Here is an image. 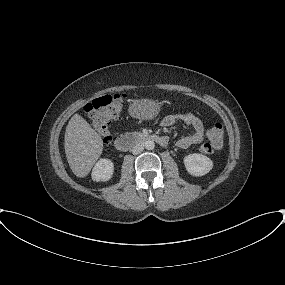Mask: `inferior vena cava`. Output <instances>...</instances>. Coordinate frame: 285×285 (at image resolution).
Wrapping results in <instances>:
<instances>
[{"label": "inferior vena cava", "instance_id": "1", "mask_svg": "<svg viewBox=\"0 0 285 285\" xmlns=\"http://www.w3.org/2000/svg\"><path fill=\"white\" fill-rule=\"evenodd\" d=\"M143 150H144L143 144L137 143V144H135V145L133 146V148H132V153H133L134 155H138V154L142 153Z\"/></svg>", "mask_w": 285, "mask_h": 285}]
</instances>
